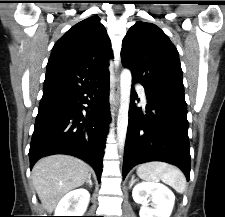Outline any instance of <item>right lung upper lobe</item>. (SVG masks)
<instances>
[{"label": "right lung upper lobe", "instance_id": "obj_1", "mask_svg": "<svg viewBox=\"0 0 225 217\" xmlns=\"http://www.w3.org/2000/svg\"><path fill=\"white\" fill-rule=\"evenodd\" d=\"M110 39L97 15L71 27L53 46L43 97L92 88L109 78Z\"/></svg>", "mask_w": 225, "mask_h": 217}]
</instances>
